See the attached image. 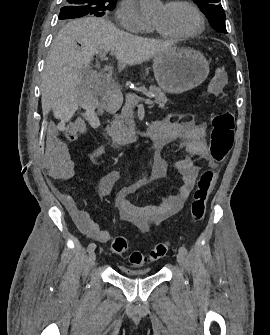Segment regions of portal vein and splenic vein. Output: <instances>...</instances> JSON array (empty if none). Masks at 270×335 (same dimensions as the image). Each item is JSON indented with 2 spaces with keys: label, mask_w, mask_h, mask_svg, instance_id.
I'll list each match as a JSON object with an SVG mask.
<instances>
[{
  "label": "portal vein and splenic vein",
  "mask_w": 270,
  "mask_h": 335,
  "mask_svg": "<svg viewBox=\"0 0 270 335\" xmlns=\"http://www.w3.org/2000/svg\"><path fill=\"white\" fill-rule=\"evenodd\" d=\"M99 56L100 57H104V56H106V52H100L99 53ZM128 93H129V95L127 96V99L129 100V101H132L133 99L134 100H139V101H144V103H146V104H155V101H151V100H149L148 98H144V96L142 95V94H139L138 96L136 95V93L134 92V91H131V90H128Z\"/></svg>",
  "instance_id": "1"
}]
</instances>
